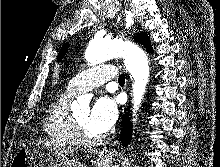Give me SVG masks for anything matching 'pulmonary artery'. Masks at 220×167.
Listing matches in <instances>:
<instances>
[{
  "instance_id": "1",
  "label": "pulmonary artery",
  "mask_w": 220,
  "mask_h": 167,
  "mask_svg": "<svg viewBox=\"0 0 220 167\" xmlns=\"http://www.w3.org/2000/svg\"><path fill=\"white\" fill-rule=\"evenodd\" d=\"M116 73L117 70L113 64H104L86 69L71 79L68 90L72 93L92 90L115 78Z\"/></svg>"
}]
</instances>
